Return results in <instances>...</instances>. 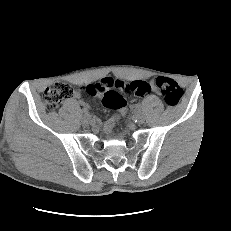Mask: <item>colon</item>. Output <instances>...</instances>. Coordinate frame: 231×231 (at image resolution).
I'll return each mask as SVG.
<instances>
[{"label":"colon","instance_id":"1","mask_svg":"<svg viewBox=\"0 0 231 231\" xmlns=\"http://www.w3.org/2000/svg\"><path fill=\"white\" fill-rule=\"evenodd\" d=\"M153 84L159 89L168 106H176L181 100L183 92L173 79L160 76L153 80ZM150 88V84L146 81L138 80L126 83L105 78L97 83L87 85L85 90L91 95L102 96L104 105L118 111L117 117H120L126 113V102L122 93L130 92L135 96L142 97L150 91ZM74 93V89L68 83L54 82L44 91L43 100L49 110H54L62 102L71 98Z\"/></svg>","mask_w":231,"mask_h":231}]
</instances>
